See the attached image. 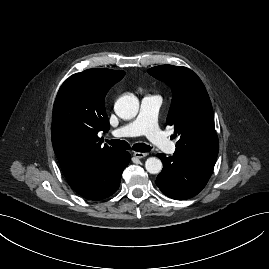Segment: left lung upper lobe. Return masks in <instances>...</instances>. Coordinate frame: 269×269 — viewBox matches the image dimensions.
Wrapping results in <instances>:
<instances>
[{
	"label": "left lung upper lobe",
	"mask_w": 269,
	"mask_h": 269,
	"mask_svg": "<svg viewBox=\"0 0 269 269\" xmlns=\"http://www.w3.org/2000/svg\"><path fill=\"white\" fill-rule=\"evenodd\" d=\"M153 77L168 84L173 93L167 124L179 136L176 148L218 153L214 113L205 86L186 67L160 65L148 70Z\"/></svg>",
	"instance_id": "5c2ea615"
}]
</instances>
